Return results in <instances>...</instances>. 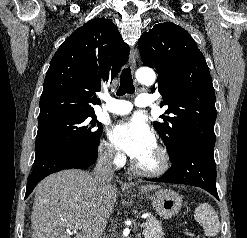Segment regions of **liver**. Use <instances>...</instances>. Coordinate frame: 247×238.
<instances>
[{"label":"liver","mask_w":247,"mask_h":238,"mask_svg":"<svg viewBox=\"0 0 247 238\" xmlns=\"http://www.w3.org/2000/svg\"><path fill=\"white\" fill-rule=\"evenodd\" d=\"M156 188L141 187L142 191ZM116 199L115 185L100 184L85 171L70 169L49 175L35 189L31 238H71L72 230H80L74 238H98Z\"/></svg>","instance_id":"obj_1"}]
</instances>
